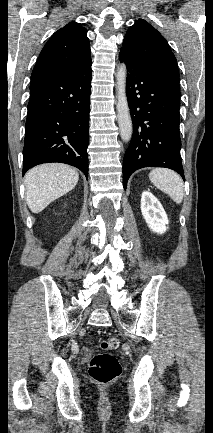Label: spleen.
I'll list each match as a JSON object with an SVG mask.
<instances>
[{
	"label": "spleen",
	"instance_id": "spleen-1",
	"mask_svg": "<svg viewBox=\"0 0 213 433\" xmlns=\"http://www.w3.org/2000/svg\"><path fill=\"white\" fill-rule=\"evenodd\" d=\"M150 181L161 191L168 194L177 204L184 196L183 181L174 171L169 169H153L149 174Z\"/></svg>",
	"mask_w": 213,
	"mask_h": 433
}]
</instances>
